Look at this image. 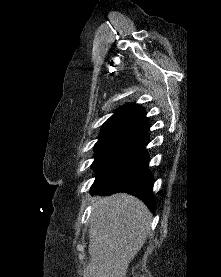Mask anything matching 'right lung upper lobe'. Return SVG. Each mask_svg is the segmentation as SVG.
<instances>
[{"instance_id":"obj_1","label":"right lung upper lobe","mask_w":221,"mask_h":277,"mask_svg":"<svg viewBox=\"0 0 221 277\" xmlns=\"http://www.w3.org/2000/svg\"><path fill=\"white\" fill-rule=\"evenodd\" d=\"M143 107L135 103L126 104L119 108L103 125L121 126V125H142L145 118Z\"/></svg>"}]
</instances>
